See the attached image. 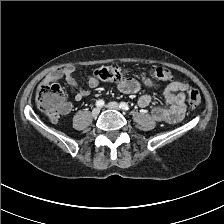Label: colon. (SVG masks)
<instances>
[{
  "mask_svg": "<svg viewBox=\"0 0 224 224\" xmlns=\"http://www.w3.org/2000/svg\"><path fill=\"white\" fill-rule=\"evenodd\" d=\"M131 71V68L106 66L97 69L95 76L102 81L116 82ZM150 72L163 80H171L173 78L171 71L163 66H153ZM187 100L192 108L199 107L201 104V96L198 90L192 87L188 88ZM36 102L38 107L53 120H57L60 113L69 107L66 101L65 91L58 84L41 83L36 91Z\"/></svg>",
  "mask_w": 224,
  "mask_h": 224,
  "instance_id": "5ec220e1",
  "label": "colon"
}]
</instances>
